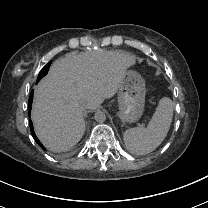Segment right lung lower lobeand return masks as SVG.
<instances>
[{
    "label": "right lung lower lobe",
    "instance_id": "obj_1",
    "mask_svg": "<svg viewBox=\"0 0 208 208\" xmlns=\"http://www.w3.org/2000/svg\"><path fill=\"white\" fill-rule=\"evenodd\" d=\"M50 64H51V61L48 62L46 65H45V69H46V73L48 72V69L50 67ZM46 75V74H45ZM39 82V81H38ZM37 82V83H38ZM32 100H33V91L31 92V95L29 97V113H28V116L30 117V110H31V106H32ZM29 122H30V130H31V133H32V136L34 138V140L38 143V145L42 148V149H45V147L40 143V141L38 140V138L36 137L35 133H34V130H33V124H32V121L31 119H29Z\"/></svg>",
    "mask_w": 208,
    "mask_h": 208
}]
</instances>
